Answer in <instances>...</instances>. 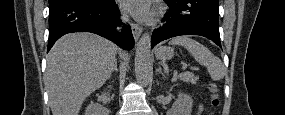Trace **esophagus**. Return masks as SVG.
<instances>
[{
	"label": "esophagus",
	"mask_w": 285,
	"mask_h": 115,
	"mask_svg": "<svg viewBox=\"0 0 285 115\" xmlns=\"http://www.w3.org/2000/svg\"><path fill=\"white\" fill-rule=\"evenodd\" d=\"M131 28H132V33H133L135 41H138V39L142 33V27L139 26L138 24L132 23Z\"/></svg>",
	"instance_id": "esophagus-1"
}]
</instances>
